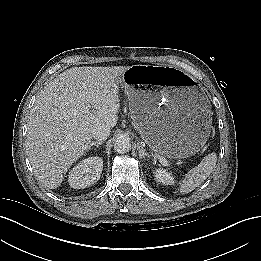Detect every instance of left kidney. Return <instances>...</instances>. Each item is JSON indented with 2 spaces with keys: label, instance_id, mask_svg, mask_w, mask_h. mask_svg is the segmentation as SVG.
<instances>
[{
  "label": "left kidney",
  "instance_id": "5707ae66",
  "mask_svg": "<svg viewBox=\"0 0 261 261\" xmlns=\"http://www.w3.org/2000/svg\"><path fill=\"white\" fill-rule=\"evenodd\" d=\"M154 177L157 182H160L164 185L174 184V177L166 170L163 169L155 170Z\"/></svg>",
  "mask_w": 261,
  "mask_h": 261
}]
</instances>
